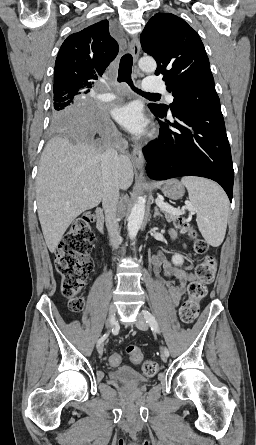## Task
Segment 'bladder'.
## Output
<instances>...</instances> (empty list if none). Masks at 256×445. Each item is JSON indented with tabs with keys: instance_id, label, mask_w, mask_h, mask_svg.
I'll return each instance as SVG.
<instances>
[{
	"instance_id": "1",
	"label": "bladder",
	"mask_w": 256,
	"mask_h": 445,
	"mask_svg": "<svg viewBox=\"0 0 256 445\" xmlns=\"http://www.w3.org/2000/svg\"><path fill=\"white\" fill-rule=\"evenodd\" d=\"M109 377L113 381L129 385L145 384L149 381V378L144 376L138 370L129 366L118 367L110 370Z\"/></svg>"
}]
</instances>
